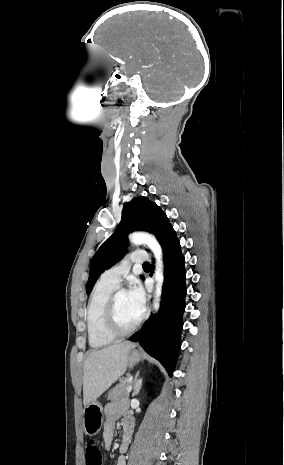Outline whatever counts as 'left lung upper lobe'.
Returning a JSON list of instances; mask_svg holds the SVG:
<instances>
[{"instance_id": "left-lung-upper-lobe-1", "label": "left lung upper lobe", "mask_w": 284, "mask_h": 465, "mask_svg": "<svg viewBox=\"0 0 284 465\" xmlns=\"http://www.w3.org/2000/svg\"><path fill=\"white\" fill-rule=\"evenodd\" d=\"M135 230L154 234L161 246L174 232L165 212L147 197L133 198L130 202L125 203L120 224L112 236L100 246L92 259L86 288L87 294H90L99 276L124 256L127 234Z\"/></svg>"}]
</instances>
